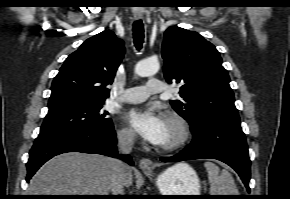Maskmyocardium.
<instances>
[{
  "label": "myocardium",
  "mask_w": 290,
  "mask_h": 199,
  "mask_svg": "<svg viewBox=\"0 0 290 199\" xmlns=\"http://www.w3.org/2000/svg\"><path fill=\"white\" fill-rule=\"evenodd\" d=\"M165 118L171 122L178 131L177 138L166 145H159V150L162 152H173L184 147L191 138V129L184 117L176 112H167Z\"/></svg>",
  "instance_id": "f54148a6"
}]
</instances>
